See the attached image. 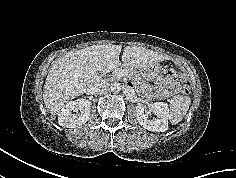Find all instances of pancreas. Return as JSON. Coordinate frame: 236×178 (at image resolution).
Segmentation results:
<instances>
[{
	"label": "pancreas",
	"mask_w": 236,
	"mask_h": 178,
	"mask_svg": "<svg viewBox=\"0 0 236 178\" xmlns=\"http://www.w3.org/2000/svg\"><path fill=\"white\" fill-rule=\"evenodd\" d=\"M125 70L128 74L129 79L132 80V82L135 84L136 90L141 93L142 95L153 98V97H161V94L159 93H152L151 87L141 78L139 73L135 69H129V68H118L113 73V78L118 80L119 77V71Z\"/></svg>",
	"instance_id": "cf45deb5"
}]
</instances>
